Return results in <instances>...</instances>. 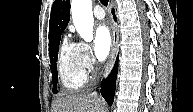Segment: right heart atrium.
I'll return each mask as SVG.
<instances>
[{
	"mask_svg": "<svg viewBox=\"0 0 193 112\" xmlns=\"http://www.w3.org/2000/svg\"><path fill=\"white\" fill-rule=\"evenodd\" d=\"M76 47L79 52L81 64L85 71L94 73L97 70V63L92 56L90 46L85 42L76 43Z\"/></svg>",
	"mask_w": 193,
	"mask_h": 112,
	"instance_id": "1",
	"label": "right heart atrium"
}]
</instances>
